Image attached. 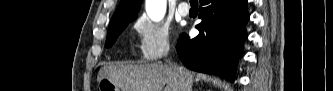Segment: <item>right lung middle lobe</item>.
<instances>
[{
	"label": "right lung middle lobe",
	"instance_id": "right-lung-middle-lobe-1",
	"mask_svg": "<svg viewBox=\"0 0 333 91\" xmlns=\"http://www.w3.org/2000/svg\"><path fill=\"white\" fill-rule=\"evenodd\" d=\"M136 17L132 18H125L118 21L110 22L107 40H106V47H111L113 43L116 41L119 34L127 27L129 22H132Z\"/></svg>",
	"mask_w": 333,
	"mask_h": 91
}]
</instances>
